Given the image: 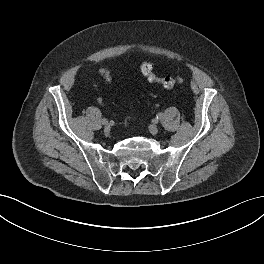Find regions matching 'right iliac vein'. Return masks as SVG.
<instances>
[{
	"label": "right iliac vein",
	"instance_id": "63e3f726",
	"mask_svg": "<svg viewBox=\"0 0 264 264\" xmlns=\"http://www.w3.org/2000/svg\"><path fill=\"white\" fill-rule=\"evenodd\" d=\"M109 132H110V125L106 124L105 127H104V133H105L106 135H108Z\"/></svg>",
	"mask_w": 264,
	"mask_h": 264
}]
</instances>
